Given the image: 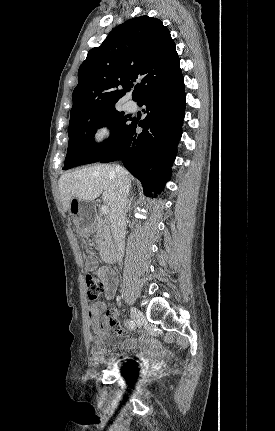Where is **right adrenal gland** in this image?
Instances as JSON below:
<instances>
[{
    "mask_svg": "<svg viewBox=\"0 0 275 431\" xmlns=\"http://www.w3.org/2000/svg\"><path fill=\"white\" fill-rule=\"evenodd\" d=\"M133 197H131L129 200H128V204H127V210L130 208V206H131V203H132V201H133Z\"/></svg>",
    "mask_w": 275,
    "mask_h": 431,
    "instance_id": "1",
    "label": "right adrenal gland"
}]
</instances>
